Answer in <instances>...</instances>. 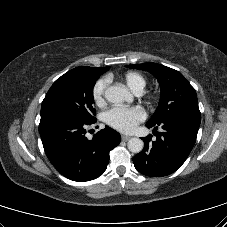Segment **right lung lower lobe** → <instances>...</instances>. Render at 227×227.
Returning a JSON list of instances; mask_svg holds the SVG:
<instances>
[{"label":"right lung lower lobe","instance_id":"1","mask_svg":"<svg viewBox=\"0 0 227 227\" xmlns=\"http://www.w3.org/2000/svg\"><path fill=\"white\" fill-rule=\"evenodd\" d=\"M83 122L67 116L41 119L39 133L44 151L57 171L73 181H89L107 168L109 152L120 142V134L106 126L91 140L87 139Z\"/></svg>","mask_w":227,"mask_h":227}]
</instances>
